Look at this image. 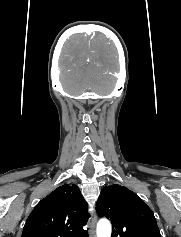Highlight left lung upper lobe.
Returning a JSON list of instances; mask_svg holds the SVG:
<instances>
[{
    "label": "left lung upper lobe",
    "mask_w": 181,
    "mask_h": 237,
    "mask_svg": "<svg viewBox=\"0 0 181 237\" xmlns=\"http://www.w3.org/2000/svg\"><path fill=\"white\" fill-rule=\"evenodd\" d=\"M96 211L100 217L111 220L112 237H161L152 210L124 186L104 187Z\"/></svg>",
    "instance_id": "left-lung-upper-lobe-1"
}]
</instances>
